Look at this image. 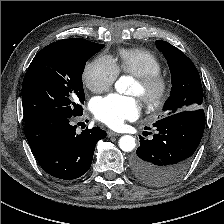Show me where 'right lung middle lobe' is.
I'll list each match as a JSON object with an SVG mask.
<instances>
[{"instance_id":"obj_1","label":"right lung middle lobe","mask_w":224,"mask_h":224,"mask_svg":"<svg viewBox=\"0 0 224 224\" xmlns=\"http://www.w3.org/2000/svg\"><path fill=\"white\" fill-rule=\"evenodd\" d=\"M105 45L83 39L54 42L32 60L22 85L24 121L47 114L77 115L85 95L82 73L87 60Z\"/></svg>"}]
</instances>
